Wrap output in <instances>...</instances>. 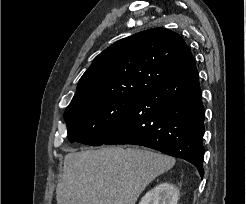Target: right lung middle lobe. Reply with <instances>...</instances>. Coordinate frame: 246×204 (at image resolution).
Wrapping results in <instances>:
<instances>
[{"label": "right lung middle lobe", "instance_id": "dd1d6c3e", "mask_svg": "<svg viewBox=\"0 0 246 204\" xmlns=\"http://www.w3.org/2000/svg\"><path fill=\"white\" fill-rule=\"evenodd\" d=\"M139 95H107L68 106L64 118L69 141L102 145L122 126Z\"/></svg>", "mask_w": 246, "mask_h": 204}]
</instances>
